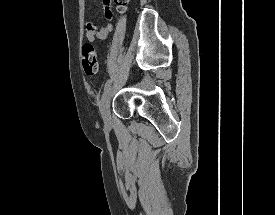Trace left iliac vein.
Listing matches in <instances>:
<instances>
[{
	"label": "left iliac vein",
	"mask_w": 275,
	"mask_h": 215,
	"mask_svg": "<svg viewBox=\"0 0 275 215\" xmlns=\"http://www.w3.org/2000/svg\"><path fill=\"white\" fill-rule=\"evenodd\" d=\"M114 91V87H110L101 98L100 113L106 127H110L112 124V118L110 113L111 97Z\"/></svg>",
	"instance_id": "1"
}]
</instances>
